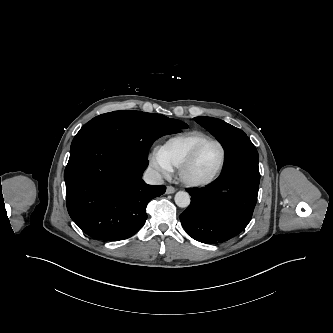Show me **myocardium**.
<instances>
[{"mask_svg": "<svg viewBox=\"0 0 333 333\" xmlns=\"http://www.w3.org/2000/svg\"><path fill=\"white\" fill-rule=\"evenodd\" d=\"M209 143H214L220 148V151H221L220 160H219L217 166L215 167V169L207 177H204L201 179L192 178L189 175V170L192 167L193 163L195 162L200 150ZM225 159H226V150H225L223 144L219 140L209 137V138L199 142L193 148V150L190 152V154L187 156V158L184 160V162L181 164V166L179 167L180 180L182 181V183L184 185H186L188 187L206 186V185L210 184L221 172V170L224 166V163H225Z\"/></svg>", "mask_w": 333, "mask_h": 333, "instance_id": "obj_1", "label": "myocardium"}]
</instances>
